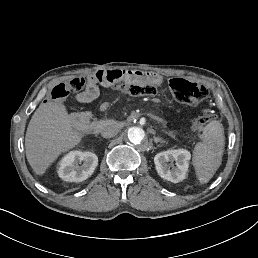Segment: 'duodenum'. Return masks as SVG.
Wrapping results in <instances>:
<instances>
[{"instance_id": "duodenum-1", "label": "duodenum", "mask_w": 258, "mask_h": 258, "mask_svg": "<svg viewBox=\"0 0 258 258\" xmlns=\"http://www.w3.org/2000/svg\"><path fill=\"white\" fill-rule=\"evenodd\" d=\"M130 72L125 69H110L99 71L89 77L91 85L101 84L105 87H114L130 77Z\"/></svg>"}]
</instances>
